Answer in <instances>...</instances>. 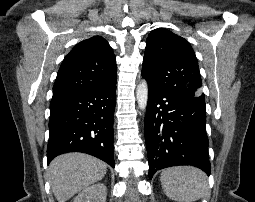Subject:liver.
Here are the masks:
<instances>
[{"label":"liver","instance_id":"1","mask_svg":"<svg viewBox=\"0 0 255 202\" xmlns=\"http://www.w3.org/2000/svg\"><path fill=\"white\" fill-rule=\"evenodd\" d=\"M107 172V164L83 153H66L49 165L51 188L58 202H66L86 187L100 181Z\"/></svg>","mask_w":255,"mask_h":202}]
</instances>
